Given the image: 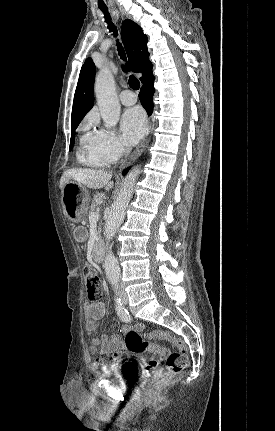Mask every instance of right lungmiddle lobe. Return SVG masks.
Masks as SVG:
<instances>
[{"label":"right lung middle lobe","mask_w":275,"mask_h":431,"mask_svg":"<svg viewBox=\"0 0 275 431\" xmlns=\"http://www.w3.org/2000/svg\"><path fill=\"white\" fill-rule=\"evenodd\" d=\"M76 128H77V126L71 128L72 129V131H71L72 136H71V140H70V148H69V150H71L72 147H73V145H74V135H75Z\"/></svg>","instance_id":"1"}]
</instances>
